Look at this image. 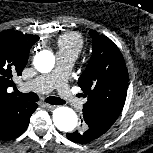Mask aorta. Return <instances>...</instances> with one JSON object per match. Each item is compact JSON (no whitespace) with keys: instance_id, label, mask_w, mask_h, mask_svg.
Returning <instances> with one entry per match:
<instances>
[{"instance_id":"obj_1","label":"aorta","mask_w":153,"mask_h":153,"mask_svg":"<svg viewBox=\"0 0 153 153\" xmlns=\"http://www.w3.org/2000/svg\"><path fill=\"white\" fill-rule=\"evenodd\" d=\"M55 65V57L51 51L43 50L34 58V66L41 73L50 72ZM54 125L63 132L73 131L78 123L74 110L66 106H59L53 111Z\"/></svg>"}]
</instances>
